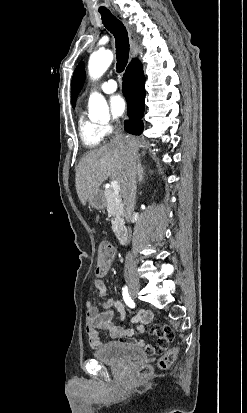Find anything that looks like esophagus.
<instances>
[{
    "label": "esophagus",
    "mask_w": 247,
    "mask_h": 413,
    "mask_svg": "<svg viewBox=\"0 0 247 413\" xmlns=\"http://www.w3.org/2000/svg\"><path fill=\"white\" fill-rule=\"evenodd\" d=\"M127 30H128L129 41H130L131 54H132V57H134L138 51V43L136 42L132 31L128 27H127Z\"/></svg>",
    "instance_id": "obj_1"
}]
</instances>
